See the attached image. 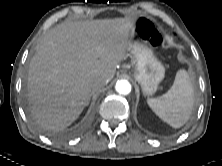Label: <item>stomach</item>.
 Here are the masks:
<instances>
[{"label":"stomach","mask_w":222,"mask_h":166,"mask_svg":"<svg viewBox=\"0 0 222 166\" xmlns=\"http://www.w3.org/2000/svg\"><path fill=\"white\" fill-rule=\"evenodd\" d=\"M131 53L135 63L134 79L141 86L144 95L154 94L164 78V66L145 42H134Z\"/></svg>","instance_id":"0dacf381"}]
</instances>
